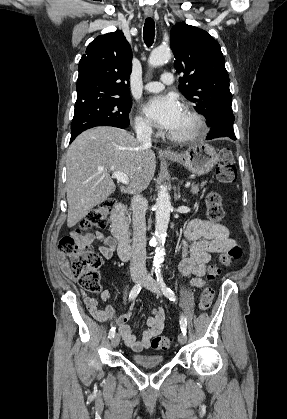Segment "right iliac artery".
<instances>
[{"mask_svg":"<svg viewBox=\"0 0 287 419\" xmlns=\"http://www.w3.org/2000/svg\"><path fill=\"white\" fill-rule=\"evenodd\" d=\"M141 288H142V284H141V283L136 284V285L132 288V290H131V292H130V294H129V300H133L134 298H136V296H137V295L139 294V292L141 291ZM115 330H116V328H115V327H112V328L110 329V331H109V336H108L110 339L114 337V335H115Z\"/></svg>","mask_w":287,"mask_h":419,"instance_id":"obj_1","label":"right iliac artery"}]
</instances>
